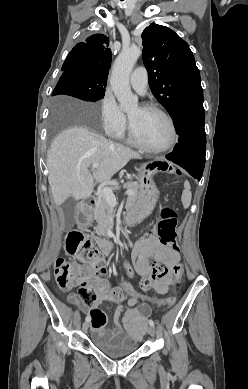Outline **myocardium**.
Masks as SVG:
<instances>
[{
  "instance_id": "myocardium-1",
  "label": "myocardium",
  "mask_w": 248,
  "mask_h": 389,
  "mask_svg": "<svg viewBox=\"0 0 248 389\" xmlns=\"http://www.w3.org/2000/svg\"><path fill=\"white\" fill-rule=\"evenodd\" d=\"M141 107L160 114L167 121L169 128H170V138H169V141L164 146H161L158 148L149 147V146L145 145L144 143H142V141L138 138V136L134 130L132 121L129 118L128 119V134H129V138H130L131 142L135 146H137L139 149L143 150L146 153H150V154H161V153H164V152L170 150L172 147H174V145L177 141V129H176V125H175L173 118L164 109H162L160 106H158L154 103H151V102L143 103L141 105Z\"/></svg>"
}]
</instances>
